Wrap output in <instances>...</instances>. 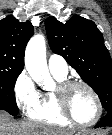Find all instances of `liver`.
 I'll return each instance as SVG.
<instances>
[{
    "instance_id": "1",
    "label": "liver",
    "mask_w": 112,
    "mask_h": 135,
    "mask_svg": "<svg viewBox=\"0 0 112 135\" xmlns=\"http://www.w3.org/2000/svg\"><path fill=\"white\" fill-rule=\"evenodd\" d=\"M0 135H72V132L38 122H15L7 112L0 110Z\"/></svg>"
}]
</instances>
